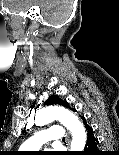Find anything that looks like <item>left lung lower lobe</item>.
Segmentation results:
<instances>
[{"mask_svg":"<svg viewBox=\"0 0 119 155\" xmlns=\"http://www.w3.org/2000/svg\"><path fill=\"white\" fill-rule=\"evenodd\" d=\"M73 111L76 110L73 109ZM81 118L83 119L86 128V147L80 155H100L98 153V140L94 135L93 128L87 124V121L84 117Z\"/></svg>","mask_w":119,"mask_h":155,"instance_id":"1","label":"left lung lower lobe"}]
</instances>
